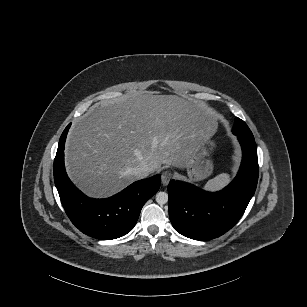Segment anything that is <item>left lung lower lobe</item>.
I'll return each instance as SVG.
<instances>
[{
	"instance_id": "1",
	"label": "left lung lower lobe",
	"mask_w": 307,
	"mask_h": 307,
	"mask_svg": "<svg viewBox=\"0 0 307 307\" xmlns=\"http://www.w3.org/2000/svg\"><path fill=\"white\" fill-rule=\"evenodd\" d=\"M243 152L236 178L223 190L206 192L189 183L171 180L168 185L169 217L180 234L209 240L231 229L243 215L258 181L254 137L236 135Z\"/></svg>"
}]
</instances>
